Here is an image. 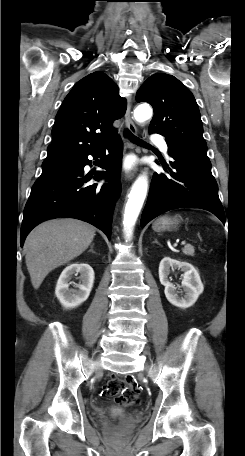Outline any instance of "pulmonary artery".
Returning <instances> with one entry per match:
<instances>
[{
    "label": "pulmonary artery",
    "instance_id": "e3ab8cb5",
    "mask_svg": "<svg viewBox=\"0 0 245 456\" xmlns=\"http://www.w3.org/2000/svg\"><path fill=\"white\" fill-rule=\"evenodd\" d=\"M151 140L156 142L165 154L168 153V146L162 136L154 134L151 136Z\"/></svg>",
    "mask_w": 245,
    "mask_h": 456
}]
</instances>
